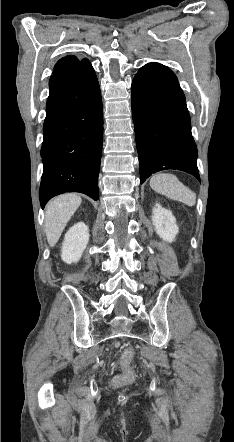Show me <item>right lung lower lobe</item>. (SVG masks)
<instances>
[{
  "mask_svg": "<svg viewBox=\"0 0 234 442\" xmlns=\"http://www.w3.org/2000/svg\"><path fill=\"white\" fill-rule=\"evenodd\" d=\"M49 89L41 148V206L65 192L98 200L103 109L94 69L88 62L53 75Z\"/></svg>",
  "mask_w": 234,
  "mask_h": 442,
  "instance_id": "obj_1",
  "label": "right lung lower lobe"
}]
</instances>
